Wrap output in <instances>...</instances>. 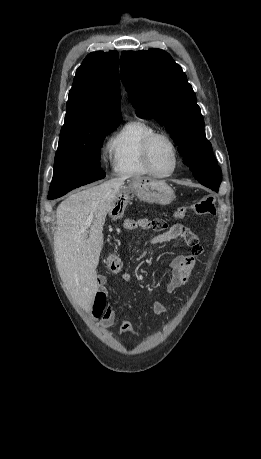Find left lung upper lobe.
I'll return each instance as SVG.
<instances>
[{"label":"left lung upper lobe","instance_id":"5c2ea615","mask_svg":"<svg viewBox=\"0 0 261 459\" xmlns=\"http://www.w3.org/2000/svg\"><path fill=\"white\" fill-rule=\"evenodd\" d=\"M121 80L140 118L165 126L183 163L199 182L221 183V169L205 137L204 120L182 68L161 49L123 51Z\"/></svg>","mask_w":261,"mask_h":459}]
</instances>
